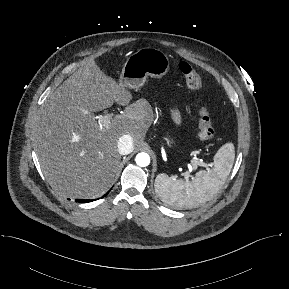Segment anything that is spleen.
I'll return each instance as SVG.
<instances>
[{
    "label": "spleen",
    "instance_id": "3e777b00",
    "mask_svg": "<svg viewBox=\"0 0 289 289\" xmlns=\"http://www.w3.org/2000/svg\"><path fill=\"white\" fill-rule=\"evenodd\" d=\"M235 159L233 143L219 148L214 156V167L201 170L191 179L176 180L161 173L155 179V191L165 203L180 208H195L210 201L225 184Z\"/></svg>",
    "mask_w": 289,
    "mask_h": 289
}]
</instances>
